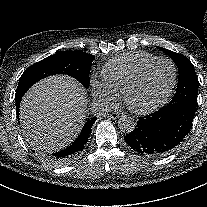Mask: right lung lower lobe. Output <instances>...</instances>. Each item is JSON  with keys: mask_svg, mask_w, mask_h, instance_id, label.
<instances>
[{"mask_svg": "<svg viewBox=\"0 0 207 207\" xmlns=\"http://www.w3.org/2000/svg\"><path fill=\"white\" fill-rule=\"evenodd\" d=\"M23 97V96H22ZM21 97V98H22ZM21 98H16V114L19 120V106ZM96 118H92L88 122L85 123L80 135L78 138L66 149L53 152L51 154H42V157L50 162L51 164H65L68 163L71 159L76 157L80 152L84 149L85 144L88 141L89 134L91 132V127L94 124ZM35 153V151H32Z\"/></svg>", "mask_w": 207, "mask_h": 207, "instance_id": "1", "label": "right lung lower lobe"}]
</instances>
